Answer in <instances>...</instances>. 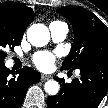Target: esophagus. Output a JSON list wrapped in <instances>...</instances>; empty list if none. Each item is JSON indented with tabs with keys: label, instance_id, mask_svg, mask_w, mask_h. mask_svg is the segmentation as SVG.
<instances>
[{
	"label": "esophagus",
	"instance_id": "1",
	"mask_svg": "<svg viewBox=\"0 0 108 108\" xmlns=\"http://www.w3.org/2000/svg\"><path fill=\"white\" fill-rule=\"evenodd\" d=\"M50 78H51V76H49V75H42V76H41V79L44 80V81H45V80H48V79H50Z\"/></svg>",
	"mask_w": 108,
	"mask_h": 108
}]
</instances>
